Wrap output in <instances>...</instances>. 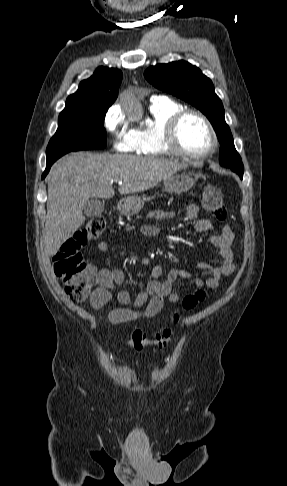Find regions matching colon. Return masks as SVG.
Instances as JSON below:
<instances>
[{
	"instance_id": "colon-1",
	"label": "colon",
	"mask_w": 287,
	"mask_h": 486,
	"mask_svg": "<svg viewBox=\"0 0 287 486\" xmlns=\"http://www.w3.org/2000/svg\"><path fill=\"white\" fill-rule=\"evenodd\" d=\"M202 204L215 219L221 221L226 218L227 210L222 191L218 186L208 184L204 187ZM105 229L106 220L103 217L90 218L73 237L63 243L53 258L54 273L63 282L67 295L75 302H83L90 296L97 278L96 269L84 260L80 250L90 241L99 238ZM205 297L206 293L203 290L187 295L182 302L183 309L195 308ZM179 317V314L174 315V323L179 321ZM172 336V328H165L152 337L137 330L132 333L127 343L136 350L148 346L162 348L171 342Z\"/></svg>"
}]
</instances>
